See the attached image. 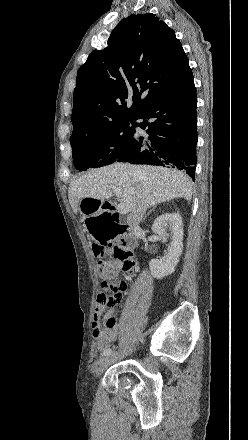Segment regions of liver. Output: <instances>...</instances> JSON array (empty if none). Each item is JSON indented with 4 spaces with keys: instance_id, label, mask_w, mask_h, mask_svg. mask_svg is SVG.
<instances>
[{
    "instance_id": "obj_1",
    "label": "liver",
    "mask_w": 248,
    "mask_h": 440,
    "mask_svg": "<svg viewBox=\"0 0 248 440\" xmlns=\"http://www.w3.org/2000/svg\"><path fill=\"white\" fill-rule=\"evenodd\" d=\"M112 187L120 189L122 203L134 212L140 202L146 207L175 198H192L190 178L171 168L114 163L93 169L73 180L68 198L74 213L84 198L104 201L112 196Z\"/></svg>"
}]
</instances>
